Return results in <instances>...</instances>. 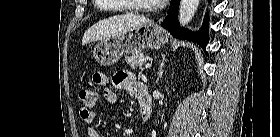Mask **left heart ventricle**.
Here are the masks:
<instances>
[{"label": "left heart ventricle", "instance_id": "1", "mask_svg": "<svg viewBox=\"0 0 280 137\" xmlns=\"http://www.w3.org/2000/svg\"><path fill=\"white\" fill-rule=\"evenodd\" d=\"M138 1L144 5H149L152 3L151 0H138Z\"/></svg>", "mask_w": 280, "mask_h": 137}]
</instances>
